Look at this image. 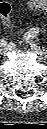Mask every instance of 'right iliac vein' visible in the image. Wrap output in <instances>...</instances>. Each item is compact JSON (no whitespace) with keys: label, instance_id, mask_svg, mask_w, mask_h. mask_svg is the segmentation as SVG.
Here are the masks:
<instances>
[{"label":"right iliac vein","instance_id":"63e3f726","mask_svg":"<svg viewBox=\"0 0 47 129\" xmlns=\"http://www.w3.org/2000/svg\"><path fill=\"white\" fill-rule=\"evenodd\" d=\"M7 50H8L7 44L0 46V53H4V52L7 51Z\"/></svg>","mask_w":47,"mask_h":129}]
</instances>
